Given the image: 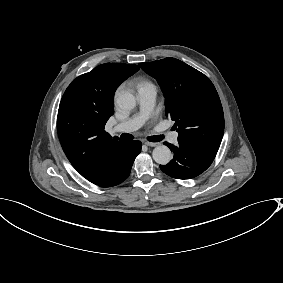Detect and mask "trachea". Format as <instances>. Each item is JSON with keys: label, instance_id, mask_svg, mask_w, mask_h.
Wrapping results in <instances>:
<instances>
[{"label": "trachea", "instance_id": "trachea-1", "mask_svg": "<svg viewBox=\"0 0 283 283\" xmlns=\"http://www.w3.org/2000/svg\"><path fill=\"white\" fill-rule=\"evenodd\" d=\"M121 138L130 140V139H133V136L131 134L123 133V134H121ZM164 138H165L164 134H162V135H155V136H150L149 137V141H151V142H160Z\"/></svg>", "mask_w": 283, "mask_h": 283}]
</instances>
